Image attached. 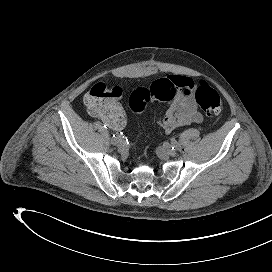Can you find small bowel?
I'll return each mask as SVG.
<instances>
[{"label": "small bowel", "instance_id": "c3829d8e", "mask_svg": "<svg viewBox=\"0 0 272 272\" xmlns=\"http://www.w3.org/2000/svg\"><path fill=\"white\" fill-rule=\"evenodd\" d=\"M169 78L177 84L178 90L159 120L161 127L166 133H170L180 126L201 123L203 115L192 94L193 80L180 75H172ZM101 118L113 130H121L126 125V115L118 102L116 111Z\"/></svg>", "mask_w": 272, "mask_h": 272}]
</instances>
